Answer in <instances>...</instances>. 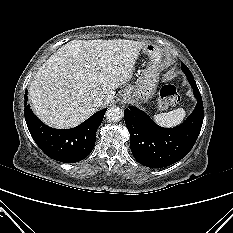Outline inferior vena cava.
I'll return each mask as SVG.
<instances>
[{
	"instance_id": "inferior-vena-cava-1",
	"label": "inferior vena cava",
	"mask_w": 233,
	"mask_h": 233,
	"mask_svg": "<svg viewBox=\"0 0 233 233\" xmlns=\"http://www.w3.org/2000/svg\"><path fill=\"white\" fill-rule=\"evenodd\" d=\"M104 102V99L102 97H96L93 101V105L95 107H100Z\"/></svg>"
}]
</instances>
